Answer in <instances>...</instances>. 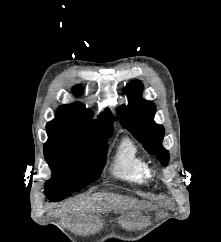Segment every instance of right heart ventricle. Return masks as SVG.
<instances>
[{
  "label": "right heart ventricle",
  "instance_id": "1",
  "mask_svg": "<svg viewBox=\"0 0 221 242\" xmlns=\"http://www.w3.org/2000/svg\"><path fill=\"white\" fill-rule=\"evenodd\" d=\"M113 178L137 186L149 184V162L140 147L129 137H124L115 152L110 165Z\"/></svg>",
  "mask_w": 221,
  "mask_h": 242
}]
</instances>
